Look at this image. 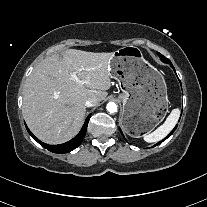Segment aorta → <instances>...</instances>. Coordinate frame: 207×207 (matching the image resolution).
Returning <instances> with one entry per match:
<instances>
[{"instance_id": "762f6f07", "label": "aorta", "mask_w": 207, "mask_h": 207, "mask_svg": "<svg viewBox=\"0 0 207 207\" xmlns=\"http://www.w3.org/2000/svg\"><path fill=\"white\" fill-rule=\"evenodd\" d=\"M106 109L109 113H114L117 111V106L114 102H109L106 106Z\"/></svg>"}]
</instances>
